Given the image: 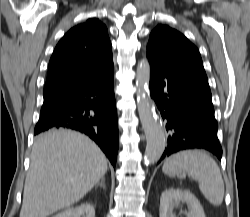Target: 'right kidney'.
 <instances>
[{
	"instance_id": "right-kidney-1",
	"label": "right kidney",
	"mask_w": 250,
	"mask_h": 217,
	"mask_svg": "<svg viewBox=\"0 0 250 217\" xmlns=\"http://www.w3.org/2000/svg\"><path fill=\"white\" fill-rule=\"evenodd\" d=\"M53 217H95V209L91 204L84 203L75 208H67Z\"/></svg>"
}]
</instances>
